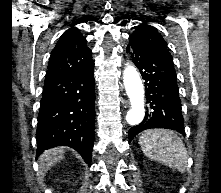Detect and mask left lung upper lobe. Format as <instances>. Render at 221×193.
<instances>
[{
	"label": "left lung upper lobe",
	"mask_w": 221,
	"mask_h": 193,
	"mask_svg": "<svg viewBox=\"0 0 221 193\" xmlns=\"http://www.w3.org/2000/svg\"><path fill=\"white\" fill-rule=\"evenodd\" d=\"M130 44L141 49L172 61V56L167 49V44L158 33L156 28L145 23L137 26L136 30L129 36Z\"/></svg>",
	"instance_id": "5c2ea615"
}]
</instances>
